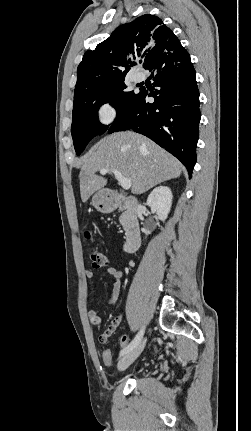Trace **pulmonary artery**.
Here are the masks:
<instances>
[{"label":"pulmonary artery","mask_w":251,"mask_h":431,"mask_svg":"<svg viewBox=\"0 0 251 431\" xmlns=\"http://www.w3.org/2000/svg\"><path fill=\"white\" fill-rule=\"evenodd\" d=\"M141 79V76L140 75H136L135 76V81H139Z\"/></svg>","instance_id":"obj_1"}]
</instances>
